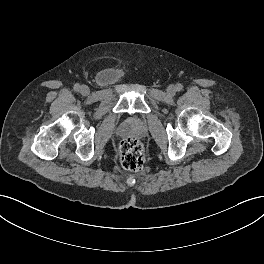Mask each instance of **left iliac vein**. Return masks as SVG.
I'll use <instances>...</instances> for the list:
<instances>
[{"label": "left iliac vein", "instance_id": "obj_1", "mask_svg": "<svg viewBox=\"0 0 264 264\" xmlns=\"http://www.w3.org/2000/svg\"><path fill=\"white\" fill-rule=\"evenodd\" d=\"M167 93L169 96H174L176 93V87L174 85L168 86Z\"/></svg>", "mask_w": 264, "mask_h": 264}]
</instances>
